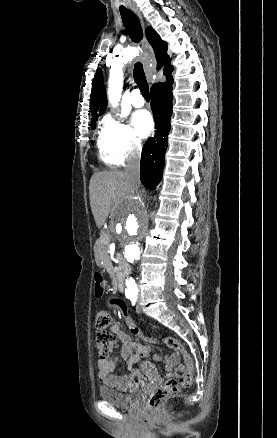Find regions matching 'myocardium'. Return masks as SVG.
Listing matches in <instances>:
<instances>
[{
  "label": "myocardium",
  "mask_w": 277,
  "mask_h": 438,
  "mask_svg": "<svg viewBox=\"0 0 277 438\" xmlns=\"http://www.w3.org/2000/svg\"><path fill=\"white\" fill-rule=\"evenodd\" d=\"M139 50H145V49L141 47Z\"/></svg>",
  "instance_id": "1"
}]
</instances>
